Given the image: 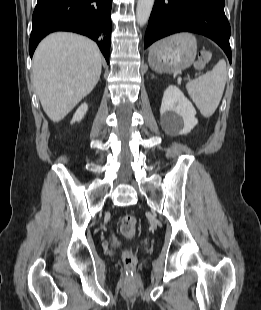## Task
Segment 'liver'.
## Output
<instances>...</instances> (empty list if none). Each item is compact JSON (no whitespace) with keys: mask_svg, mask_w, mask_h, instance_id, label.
I'll list each match as a JSON object with an SVG mask.
<instances>
[{"mask_svg":"<svg viewBox=\"0 0 261 310\" xmlns=\"http://www.w3.org/2000/svg\"><path fill=\"white\" fill-rule=\"evenodd\" d=\"M102 59L97 45L75 33L56 32L38 45L33 81L43 110L61 121L99 81Z\"/></svg>","mask_w":261,"mask_h":310,"instance_id":"liver-1","label":"liver"}]
</instances>
